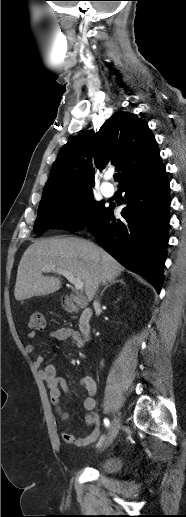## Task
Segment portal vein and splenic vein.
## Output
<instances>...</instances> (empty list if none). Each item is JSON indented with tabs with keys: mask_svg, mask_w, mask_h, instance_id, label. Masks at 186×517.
<instances>
[{
	"mask_svg": "<svg viewBox=\"0 0 186 517\" xmlns=\"http://www.w3.org/2000/svg\"><path fill=\"white\" fill-rule=\"evenodd\" d=\"M43 272H50V271H53V272H56L58 274H61L63 275L71 284H73L75 286V288L77 290H82L83 289V286H84V283L81 279L79 278H76L71 272L67 271V270H63V269H58L56 268L55 266H46L44 267L43 269Z\"/></svg>",
	"mask_w": 186,
	"mask_h": 517,
	"instance_id": "portal-vein-and-splenic-vein-1",
	"label": "portal vein and splenic vein"
}]
</instances>
